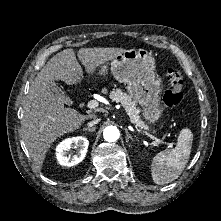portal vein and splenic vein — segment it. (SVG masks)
Returning a JSON list of instances; mask_svg holds the SVG:
<instances>
[{
  "label": "portal vein and splenic vein",
  "mask_w": 221,
  "mask_h": 221,
  "mask_svg": "<svg viewBox=\"0 0 221 221\" xmlns=\"http://www.w3.org/2000/svg\"><path fill=\"white\" fill-rule=\"evenodd\" d=\"M98 106H99V102L96 101V100H90V101L87 103V107H88L89 109H95V108H97ZM129 120H130L131 123L134 124V121L132 120L131 117H129ZM134 125H135V124H134ZM135 127L137 128L136 125H135ZM139 130H141V129H139ZM146 135H147L148 137H150L152 140H154V141H153V145H159V144H160V145H166L167 148H173V143L164 142V141H162V140H160V139H158V138H156V137H154L153 135L148 134V133H146Z\"/></svg>",
  "instance_id": "obj_1"
}]
</instances>
